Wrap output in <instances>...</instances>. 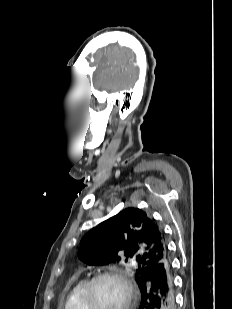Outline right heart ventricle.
Listing matches in <instances>:
<instances>
[{
	"label": "right heart ventricle",
	"mask_w": 232,
	"mask_h": 309,
	"mask_svg": "<svg viewBox=\"0 0 232 309\" xmlns=\"http://www.w3.org/2000/svg\"><path fill=\"white\" fill-rule=\"evenodd\" d=\"M87 282V279H82L73 286L67 297L64 309H86L83 301V294Z\"/></svg>",
	"instance_id": "obj_1"
}]
</instances>
